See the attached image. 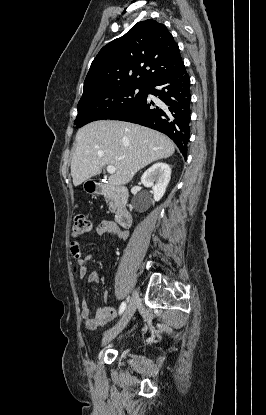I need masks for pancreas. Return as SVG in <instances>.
Instances as JSON below:
<instances>
[{"instance_id":"cf45deb5","label":"pancreas","mask_w":266,"mask_h":415,"mask_svg":"<svg viewBox=\"0 0 266 415\" xmlns=\"http://www.w3.org/2000/svg\"><path fill=\"white\" fill-rule=\"evenodd\" d=\"M107 201H109V208L113 212L115 210V204L113 202V196L110 194L105 195Z\"/></svg>"}]
</instances>
